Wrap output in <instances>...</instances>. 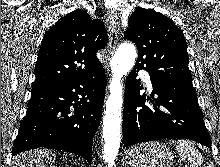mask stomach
<instances>
[{
	"mask_svg": "<svg viewBox=\"0 0 220 167\" xmlns=\"http://www.w3.org/2000/svg\"><path fill=\"white\" fill-rule=\"evenodd\" d=\"M127 159L132 167H171L173 155L165 145L149 142L131 148Z\"/></svg>",
	"mask_w": 220,
	"mask_h": 167,
	"instance_id": "0dacf381",
	"label": "stomach"
}]
</instances>
